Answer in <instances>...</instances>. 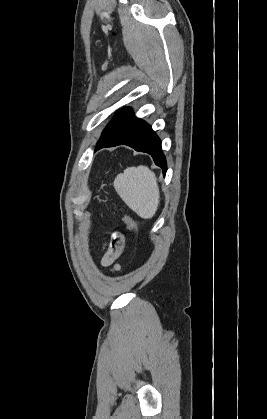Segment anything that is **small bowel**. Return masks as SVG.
<instances>
[{"instance_id": "small-bowel-1", "label": "small bowel", "mask_w": 267, "mask_h": 419, "mask_svg": "<svg viewBox=\"0 0 267 419\" xmlns=\"http://www.w3.org/2000/svg\"><path fill=\"white\" fill-rule=\"evenodd\" d=\"M124 250V238L121 234H113L109 244L103 246V255L101 258V265L103 267H110L112 271L120 269L116 262L122 255Z\"/></svg>"}]
</instances>
